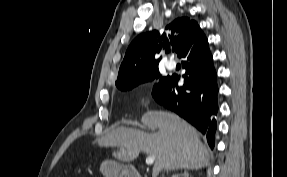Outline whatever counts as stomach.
Instances as JSON below:
<instances>
[{
  "instance_id": "0dacf381",
  "label": "stomach",
  "mask_w": 287,
  "mask_h": 177,
  "mask_svg": "<svg viewBox=\"0 0 287 177\" xmlns=\"http://www.w3.org/2000/svg\"><path fill=\"white\" fill-rule=\"evenodd\" d=\"M100 171L105 177H129L130 175V167L110 160L102 162Z\"/></svg>"
}]
</instances>
